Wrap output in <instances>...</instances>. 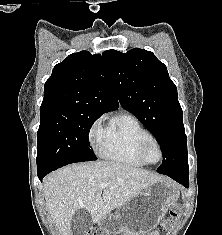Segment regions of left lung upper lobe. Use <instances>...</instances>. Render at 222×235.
<instances>
[{
	"instance_id": "5c2ea615",
	"label": "left lung upper lobe",
	"mask_w": 222,
	"mask_h": 235,
	"mask_svg": "<svg viewBox=\"0 0 222 235\" xmlns=\"http://www.w3.org/2000/svg\"><path fill=\"white\" fill-rule=\"evenodd\" d=\"M122 107L132 114L159 142L163 161L157 172L189 175L187 137L177 88L166 66L150 52L139 48L102 54Z\"/></svg>"
}]
</instances>
